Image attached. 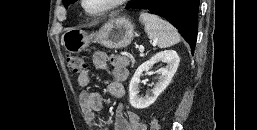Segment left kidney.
<instances>
[{
	"label": "left kidney",
	"instance_id": "1",
	"mask_svg": "<svg viewBox=\"0 0 257 130\" xmlns=\"http://www.w3.org/2000/svg\"><path fill=\"white\" fill-rule=\"evenodd\" d=\"M166 63V66L158 71L159 80L155 87L144 97H139L140 76L144 71H148L154 64L158 62ZM180 58L176 51L165 50L157 53L150 60L141 64L135 71L129 84V102L136 109H144L153 104L157 97L170 84L174 74L179 66Z\"/></svg>",
	"mask_w": 257,
	"mask_h": 130
}]
</instances>
